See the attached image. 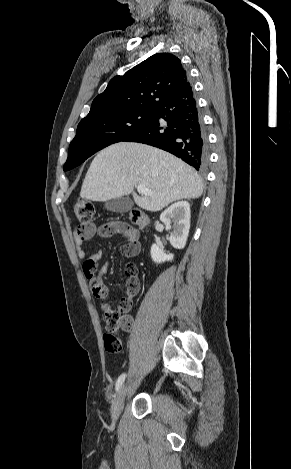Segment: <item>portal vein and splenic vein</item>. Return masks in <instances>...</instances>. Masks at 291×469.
Segmentation results:
<instances>
[{
  "label": "portal vein and splenic vein",
  "mask_w": 291,
  "mask_h": 469,
  "mask_svg": "<svg viewBox=\"0 0 291 469\" xmlns=\"http://www.w3.org/2000/svg\"><path fill=\"white\" fill-rule=\"evenodd\" d=\"M137 191H138L139 194H142V195H151L152 194V191L148 190L144 185H138L137 186Z\"/></svg>",
  "instance_id": "1"
}]
</instances>
